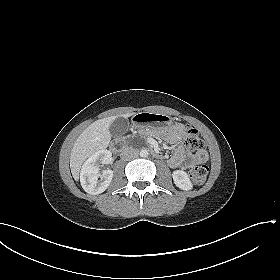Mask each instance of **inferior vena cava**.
<instances>
[{"label": "inferior vena cava", "instance_id": "602c4592", "mask_svg": "<svg viewBox=\"0 0 280 280\" xmlns=\"http://www.w3.org/2000/svg\"><path fill=\"white\" fill-rule=\"evenodd\" d=\"M137 156H138V150L132 147L125 148L121 153V158L123 160H131L136 158Z\"/></svg>", "mask_w": 280, "mask_h": 280}]
</instances>
